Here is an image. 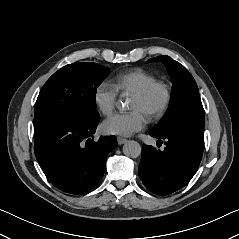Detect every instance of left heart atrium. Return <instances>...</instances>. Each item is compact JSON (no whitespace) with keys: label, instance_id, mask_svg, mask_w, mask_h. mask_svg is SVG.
Returning a JSON list of instances; mask_svg holds the SVG:
<instances>
[{"label":"left heart atrium","instance_id":"obj_1","mask_svg":"<svg viewBox=\"0 0 239 239\" xmlns=\"http://www.w3.org/2000/svg\"><path fill=\"white\" fill-rule=\"evenodd\" d=\"M141 124L142 117L133 111L123 115H115L110 118L107 122V128L110 131L128 134L140 128Z\"/></svg>","mask_w":239,"mask_h":239}]
</instances>
